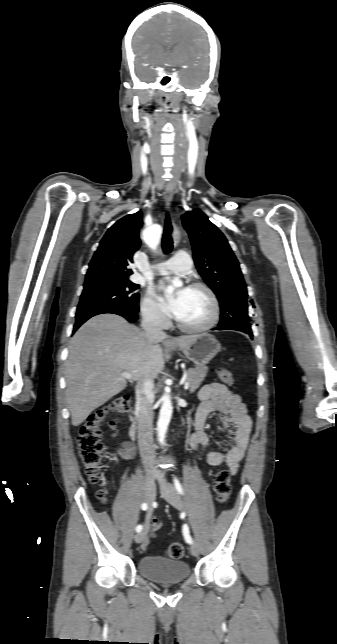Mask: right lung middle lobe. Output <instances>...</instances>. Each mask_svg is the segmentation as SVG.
<instances>
[{"label":"right lung middle lobe","mask_w":337,"mask_h":644,"mask_svg":"<svg viewBox=\"0 0 337 644\" xmlns=\"http://www.w3.org/2000/svg\"><path fill=\"white\" fill-rule=\"evenodd\" d=\"M138 284L129 279H96L86 281L77 307L76 318L104 309L139 308Z\"/></svg>","instance_id":"1"}]
</instances>
